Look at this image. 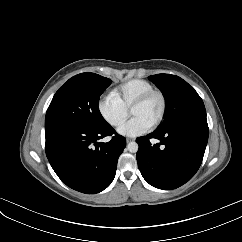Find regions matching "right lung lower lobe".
I'll return each instance as SVG.
<instances>
[{
	"instance_id": "right-lung-lower-lobe-1",
	"label": "right lung lower lobe",
	"mask_w": 242,
	"mask_h": 242,
	"mask_svg": "<svg viewBox=\"0 0 242 242\" xmlns=\"http://www.w3.org/2000/svg\"><path fill=\"white\" fill-rule=\"evenodd\" d=\"M113 135L107 142H98ZM46 155L58 177L70 188L95 194L107 188L116 173L126 141L107 124L94 128L78 123L45 127Z\"/></svg>"
}]
</instances>
